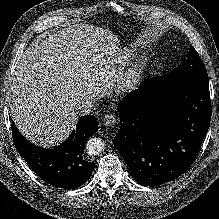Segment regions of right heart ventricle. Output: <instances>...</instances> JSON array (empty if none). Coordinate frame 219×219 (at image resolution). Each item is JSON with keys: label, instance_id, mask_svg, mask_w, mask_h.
<instances>
[{"label": "right heart ventricle", "instance_id": "right-heart-ventricle-1", "mask_svg": "<svg viewBox=\"0 0 219 219\" xmlns=\"http://www.w3.org/2000/svg\"><path fill=\"white\" fill-rule=\"evenodd\" d=\"M136 56V51L134 50H127L123 52L120 58L116 61L117 65L123 64L124 62H127L131 59H133Z\"/></svg>", "mask_w": 219, "mask_h": 219}]
</instances>
